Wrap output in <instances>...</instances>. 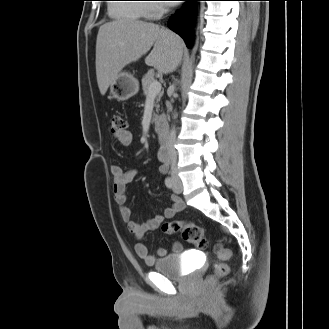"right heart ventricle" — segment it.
Listing matches in <instances>:
<instances>
[{
    "label": "right heart ventricle",
    "instance_id": "1",
    "mask_svg": "<svg viewBox=\"0 0 329 329\" xmlns=\"http://www.w3.org/2000/svg\"><path fill=\"white\" fill-rule=\"evenodd\" d=\"M114 3L109 6V13L114 18L140 21L148 17V4L144 0H112Z\"/></svg>",
    "mask_w": 329,
    "mask_h": 329
}]
</instances>
